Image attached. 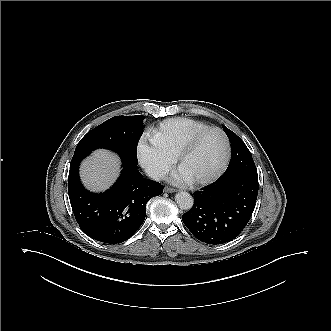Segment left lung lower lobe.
Returning <instances> with one entry per match:
<instances>
[{
  "mask_svg": "<svg viewBox=\"0 0 331 331\" xmlns=\"http://www.w3.org/2000/svg\"><path fill=\"white\" fill-rule=\"evenodd\" d=\"M258 175L234 173L194 194L191 210L183 223L200 241L223 244L235 239L245 228L255 208Z\"/></svg>",
  "mask_w": 331,
  "mask_h": 331,
  "instance_id": "0a47b994",
  "label": "left lung lower lobe"
}]
</instances>
